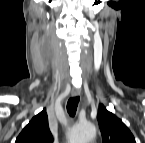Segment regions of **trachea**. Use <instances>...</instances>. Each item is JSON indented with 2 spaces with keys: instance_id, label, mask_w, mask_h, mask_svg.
I'll list each match as a JSON object with an SVG mask.
<instances>
[{
  "instance_id": "obj_1",
  "label": "trachea",
  "mask_w": 145,
  "mask_h": 143,
  "mask_svg": "<svg viewBox=\"0 0 145 143\" xmlns=\"http://www.w3.org/2000/svg\"><path fill=\"white\" fill-rule=\"evenodd\" d=\"M79 100H80V98L78 96H76V97L70 98L67 102V112L71 117L75 116V114H76Z\"/></svg>"
}]
</instances>
